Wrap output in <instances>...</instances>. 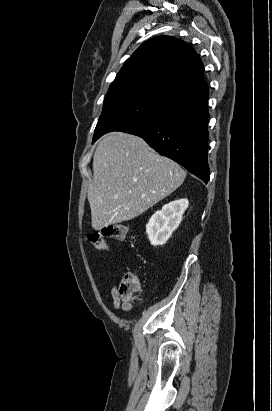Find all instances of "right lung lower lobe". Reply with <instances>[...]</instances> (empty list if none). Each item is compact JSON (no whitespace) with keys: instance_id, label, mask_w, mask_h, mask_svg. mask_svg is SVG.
<instances>
[{"instance_id":"obj_1","label":"right lung lower lobe","mask_w":272,"mask_h":411,"mask_svg":"<svg viewBox=\"0 0 272 411\" xmlns=\"http://www.w3.org/2000/svg\"><path fill=\"white\" fill-rule=\"evenodd\" d=\"M208 96L180 106L126 133L143 138L160 154L178 162L207 183ZM99 137L93 138V141Z\"/></svg>"}]
</instances>
